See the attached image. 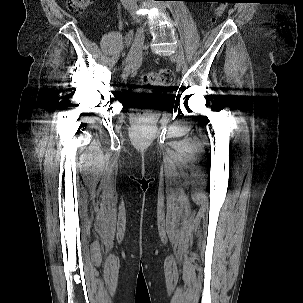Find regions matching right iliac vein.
Returning a JSON list of instances; mask_svg holds the SVG:
<instances>
[{"label":"right iliac vein","mask_w":303,"mask_h":303,"mask_svg":"<svg viewBox=\"0 0 303 303\" xmlns=\"http://www.w3.org/2000/svg\"><path fill=\"white\" fill-rule=\"evenodd\" d=\"M144 38H145V27L144 25L140 24L139 27L137 28L133 44L126 58L127 65L134 63L138 58V56L140 55L144 43Z\"/></svg>","instance_id":"obj_1"}]
</instances>
